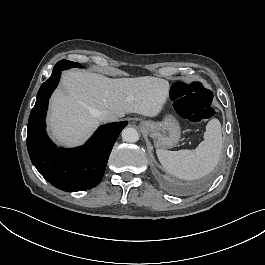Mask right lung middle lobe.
Segmentation results:
<instances>
[{"label": "right lung middle lobe", "mask_w": 265, "mask_h": 265, "mask_svg": "<svg viewBox=\"0 0 265 265\" xmlns=\"http://www.w3.org/2000/svg\"><path fill=\"white\" fill-rule=\"evenodd\" d=\"M56 65H65V69H69L71 67H81L79 63L71 62L67 60L59 61Z\"/></svg>", "instance_id": "dd1d6c3e"}]
</instances>
